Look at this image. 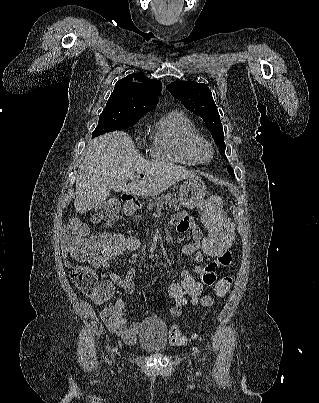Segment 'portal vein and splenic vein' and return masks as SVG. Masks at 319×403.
<instances>
[{"mask_svg":"<svg viewBox=\"0 0 319 403\" xmlns=\"http://www.w3.org/2000/svg\"><path fill=\"white\" fill-rule=\"evenodd\" d=\"M130 178L133 179V178H135V177H134V176H131Z\"/></svg>","mask_w":319,"mask_h":403,"instance_id":"obj_1","label":"portal vein and splenic vein"}]
</instances>
